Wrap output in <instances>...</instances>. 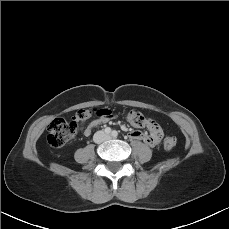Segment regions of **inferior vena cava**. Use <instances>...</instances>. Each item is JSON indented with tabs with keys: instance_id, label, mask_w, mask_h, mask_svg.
I'll return each mask as SVG.
<instances>
[{
	"instance_id": "inferior-vena-cava-1",
	"label": "inferior vena cava",
	"mask_w": 229,
	"mask_h": 229,
	"mask_svg": "<svg viewBox=\"0 0 229 229\" xmlns=\"http://www.w3.org/2000/svg\"><path fill=\"white\" fill-rule=\"evenodd\" d=\"M108 139V135H106L103 131H97L94 134L93 140L95 143H102Z\"/></svg>"
}]
</instances>
